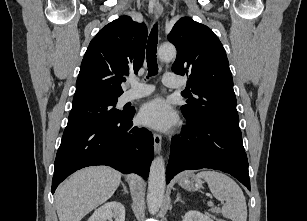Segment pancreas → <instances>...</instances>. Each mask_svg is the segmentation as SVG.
<instances>
[{
    "instance_id": "obj_1",
    "label": "pancreas",
    "mask_w": 307,
    "mask_h": 221,
    "mask_svg": "<svg viewBox=\"0 0 307 221\" xmlns=\"http://www.w3.org/2000/svg\"><path fill=\"white\" fill-rule=\"evenodd\" d=\"M212 212L218 214L220 213V209L219 208L213 209Z\"/></svg>"
}]
</instances>
